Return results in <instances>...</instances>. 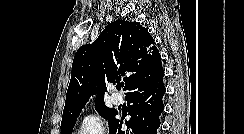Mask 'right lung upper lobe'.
I'll use <instances>...</instances> for the list:
<instances>
[{"mask_svg": "<svg viewBox=\"0 0 244 134\" xmlns=\"http://www.w3.org/2000/svg\"><path fill=\"white\" fill-rule=\"evenodd\" d=\"M162 75L161 56L148 30L138 22L114 21L76 52L62 119L79 115L91 95L97 94L95 106L104 103L106 84L122 76L127 95Z\"/></svg>", "mask_w": 244, "mask_h": 134, "instance_id": "obj_1", "label": "right lung upper lobe"}]
</instances>
